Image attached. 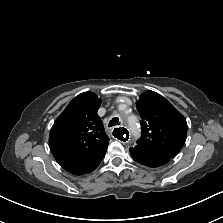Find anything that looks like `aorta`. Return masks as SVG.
Instances as JSON below:
<instances>
[{"label": "aorta", "mask_w": 223, "mask_h": 223, "mask_svg": "<svg viewBox=\"0 0 223 223\" xmlns=\"http://www.w3.org/2000/svg\"><path fill=\"white\" fill-rule=\"evenodd\" d=\"M130 130L135 137L139 136L140 129L137 122H129Z\"/></svg>", "instance_id": "obj_1"}]
</instances>
